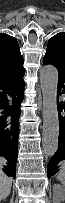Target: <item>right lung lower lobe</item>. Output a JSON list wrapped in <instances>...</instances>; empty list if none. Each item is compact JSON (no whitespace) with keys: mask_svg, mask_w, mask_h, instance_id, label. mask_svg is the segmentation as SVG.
<instances>
[{"mask_svg":"<svg viewBox=\"0 0 65 203\" xmlns=\"http://www.w3.org/2000/svg\"><path fill=\"white\" fill-rule=\"evenodd\" d=\"M24 72L0 78V156L7 163L2 169L8 176L16 175L20 106L24 96Z\"/></svg>","mask_w":65,"mask_h":203,"instance_id":"obj_1","label":"right lung lower lobe"}]
</instances>
